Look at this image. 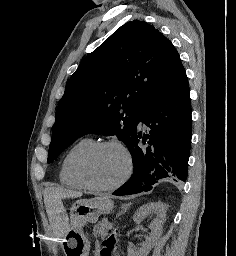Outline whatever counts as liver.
I'll list each match as a JSON object with an SVG mask.
<instances>
[{
  "label": "liver",
  "instance_id": "liver-1",
  "mask_svg": "<svg viewBox=\"0 0 236 256\" xmlns=\"http://www.w3.org/2000/svg\"><path fill=\"white\" fill-rule=\"evenodd\" d=\"M80 198L81 192H72V190H58V188H47L44 192V204L46 206V212L50 218L54 216V212H58L61 208H58V200L60 198Z\"/></svg>",
  "mask_w": 236,
  "mask_h": 256
}]
</instances>
